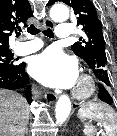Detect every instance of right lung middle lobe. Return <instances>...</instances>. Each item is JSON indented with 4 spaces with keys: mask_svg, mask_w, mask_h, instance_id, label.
Listing matches in <instances>:
<instances>
[{
    "mask_svg": "<svg viewBox=\"0 0 117 136\" xmlns=\"http://www.w3.org/2000/svg\"><path fill=\"white\" fill-rule=\"evenodd\" d=\"M17 64L13 61V54L11 51L0 52V67L11 68Z\"/></svg>",
    "mask_w": 117,
    "mask_h": 136,
    "instance_id": "dd1d6c3e",
    "label": "right lung middle lobe"
}]
</instances>
